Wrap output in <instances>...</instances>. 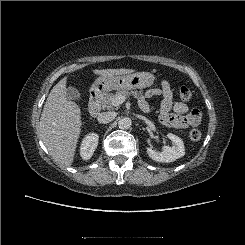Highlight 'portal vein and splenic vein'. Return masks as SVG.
<instances>
[{"label":"portal vein and splenic vein","mask_w":245,"mask_h":245,"mask_svg":"<svg viewBox=\"0 0 245 245\" xmlns=\"http://www.w3.org/2000/svg\"><path fill=\"white\" fill-rule=\"evenodd\" d=\"M125 100H126V97L120 95V96H117V97H115V98L113 99L112 104H113L114 106H119V105H121Z\"/></svg>","instance_id":"obj_1"}]
</instances>
